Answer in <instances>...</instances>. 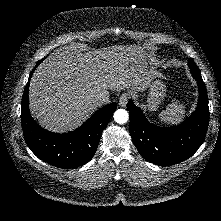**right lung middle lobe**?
Listing matches in <instances>:
<instances>
[{
	"mask_svg": "<svg viewBox=\"0 0 221 221\" xmlns=\"http://www.w3.org/2000/svg\"><path fill=\"white\" fill-rule=\"evenodd\" d=\"M40 62H42V60H40V61L36 64V66H38Z\"/></svg>",
	"mask_w": 221,
	"mask_h": 221,
	"instance_id": "dd1d6c3e",
	"label": "right lung middle lobe"
}]
</instances>
